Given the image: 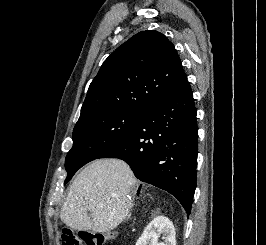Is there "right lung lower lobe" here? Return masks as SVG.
<instances>
[{
  "label": "right lung lower lobe",
  "mask_w": 266,
  "mask_h": 245,
  "mask_svg": "<svg viewBox=\"0 0 266 245\" xmlns=\"http://www.w3.org/2000/svg\"><path fill=\"white\" fill-rule=\"evenodd\" d=\"M196 113L187 81L150 106L134 130L98 158L124 160L138 179L172 194L189 215L196 188Z\"/></svg>",
  "instance_id": "1"
}]
</instances>
